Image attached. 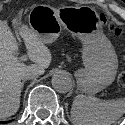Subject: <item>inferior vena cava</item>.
<instances>
[{"label":"inferior vena cava","mask_w":125,"mask_h":125,"mask_svg":"<svg viewBox=\"0 0 125 125\" xmlns=\"http://www.w3.org/2000/svg\"><path fill=\"white\" fill-rule=\"evenodd\" d=\"M38 75L37 72H28L22 76V80L36 79Z\"/></svg>","instance_id":"obj_1"}]
</instances>
